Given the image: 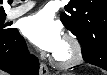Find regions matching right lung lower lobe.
<instances>
[{
	"label": "right lung lower lobe",
	"mask_w": 107,
	"mask_h": 75,
	"mask_svg": "<svg viewBox=\"0 0 107 75\" xmlns=\"http://www.w3.org/2000/svg\"><path fill=\"white\" fill-rule=\"evenodd\" d=\"M0 69L16 75H39V61L29 54L17 29L0 38Z\"/></svg>",
	"instance_id": "right-lung-lower-lobe-1"
}]
</instances>
